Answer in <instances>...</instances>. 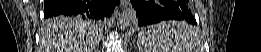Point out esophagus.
Here are the masks:
<instances>
[{
	"mask_svg": "<svg viewBox=\"0 0 261 52\" xmlns=\"http://www.w3.org/2000/svg\"><path fill=\"white\" fill-rule=\"evenodd\" d=\"M121 4L123 7H127L129 5V1L128 0H121Z\"/></svg>",
	"mask_w": 261,
	"mask_h": 52,
	"instance_id": "1",
	"label": "esophagus"
}]
</instances>
